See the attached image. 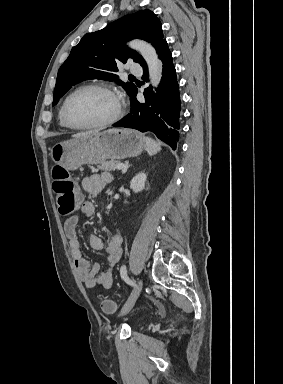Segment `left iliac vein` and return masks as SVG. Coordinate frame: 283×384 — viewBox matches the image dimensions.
I'll return each instance as SVG.
<instances>
[{"instance_id":"obj_1","label":"left iliac vein","mask_w":283,"mask_h":384,"mask_svg":"<svg viewBox=\"0 0 283 384\" xmlns=\"http://www.w3.org/2000/svg\"><path fill=\"white\" fill-rule=\"evenodd\" d=\"M142 287H143V280L142 279H139L137 284L135 285L134 289H133V292L132 294L130 295L128 301L126 302V304L123 306L121 312H120V316H124L126 315L130 310L131 308L133 307L139 293L141 292L142 290Z\"/></svg>"}]
</instances>
